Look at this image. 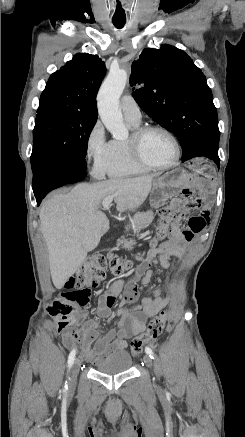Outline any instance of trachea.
Segmentation results:
<instances>
[{
  "label": "trachea",
  "mask_w": 245,
  "mask_h": 437,
  "mask_svg": "<svg viewBox=\"0 0 245 437\" xmlns=\"http://www.w3.org/2000/svg\"><path fill=\"white\" fill-rule=\"evenodd\" d=\"M125 23H126V22H124V21H113V24H114V26H115L117 29H121V28H123L124 25H125Z\"/></svg>",
  "instance_id": "1"
}]
</instances>
